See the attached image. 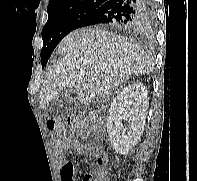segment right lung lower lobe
<instances>
[{"label":"right lung lower lobe","mask_w":197,"mask_h":181,"mask_svg":"<svg viewBox=\"0 0 197 181\" xmlns=\"http://www.w3.org/2000/svg\"><path fill=\"white\" fill-rule=\"evenodd\" d=\"M153 0H107L83 19L78 28L91 25L133 30L142 28L153 16Z\"/></svg>","instance_id":"right-lung-lower-lobe-1"}]
</instances>
